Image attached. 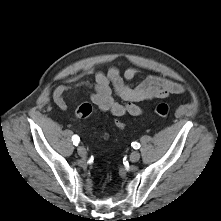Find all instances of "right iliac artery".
<instances>
[{
  "instance_id": "1",
  "label": "right iliac artery",
  "mask_w": 221,
  "mask_h": 221,
  "mask_svg": "<svg viewBox=\"0 0 221 221\" xmlns=\"http://www.w3.org/2000/svg\"><path fill=\"white\" fill-rule=\"evenodd\" d=\"M79 141H80V138L77 135L73 136V144L75 146L79 144Z\"/></svg>"
}]
</instances>
